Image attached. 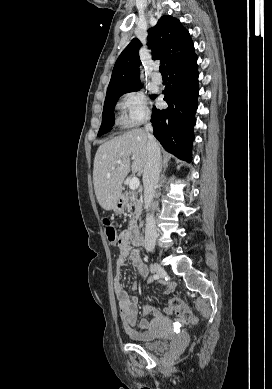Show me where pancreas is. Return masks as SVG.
Returning a JSON list of instances; mask_svg holds the SVG:
<instances>
[{
  "mask_svg": "<svg viewBox=\"0 0 272 389\" xmlns=\"http://www.w3.org/2000/svg\"><path fill=\"white\" fill-rule=\"evenodd\" d=\"M126 198H127V203H126V208L127 211L130 212L132 207H135L134 212H130V222H129V227L134 228L137 226V220L142 212V199H138L137 193L134 191H129L126 193Z\"/></svg>",
  "mask_w": 272,
  "mask_h": 389,
  "instance_id": "obj_1",
  "label": "pancreas"
}]
</instances>
